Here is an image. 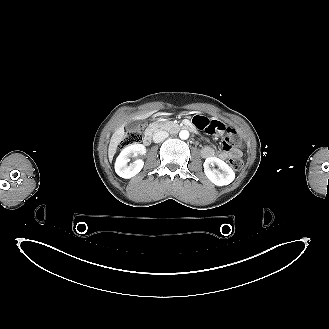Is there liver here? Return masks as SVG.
Wrapping results in <instances>:
<instances>
[{
  "mask_svg": "<svg viewBox=\"0 0 329 329\" xmlns=\"http://www.w3.org/2000/svg\"><path fill=\"white\" fill-rule=\"evenodd\" d=\"M157 111L158 110L155 109V110H152V111L144 113V114H138L135 117H133L132 119L144 120V119H147L148 117H150L152 114H154ZM124 126H125V124H123L122 126L117 128L111 137L109 148H108V157H109L110 162L113 160V157L117 151V147H118L119 143L125 137Z\"/></svg>",
  "mask_w": 329,
  "mask_h": 329,
  "instance_id": "obj_1",
  "label": "liver"
}]
</instances>
